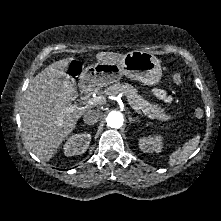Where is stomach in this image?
<instances>
[{"mask_svg":"<svg viewBox=\"0 0 221 221\" xmlns=\"http://www.w3.org/2000/svg\"><path fill=\"white\" fill-rule=\"evenodd\" d=\"M122 75L144 85L155 86L162 77L160 60L152 53L135 50L117 63L97 61L80 75V87L107 86L118 82Z\"/></svg>","mask_w":221,"mask_h":221,"instance_id":"0dacf381","label":"stomach"}]
</instances>
